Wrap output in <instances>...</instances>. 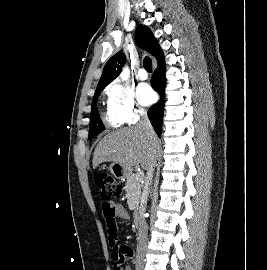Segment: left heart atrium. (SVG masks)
Instances as JSON below:
<instances>
[{"label": "left heart atrium", "instance_id": "39dd6f15", "mask_svg": "<svg viewBox=\"0 0 267 270\" xmlns=\"http://www.w3.org/2000/svg\"><path fill=\"white\" fill-rule=\"evenodd\" d=\"M136 93L139 102L144 106L151 104L155 99V94L153 90L147 84L138 85Z\"/></svg>", "mask_w": 267, "mask_h": 270}]
</instances>
